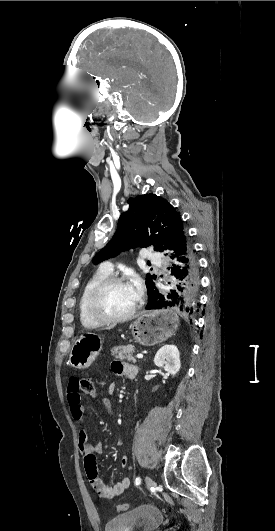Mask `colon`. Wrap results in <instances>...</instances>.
Here are the masks:
<instances>
[{"mask_svg":"<svg viewBox=\"0 0 275 531\" xmlns=\"http://www.w3.org/2000/svg\"><path fill=\"white\" fill-rule=\"evenodd\" d=\"M81 392H85V395L93 400L97 399L98 383L91 377H85V381L80 383ZM119 514L125 513L128 510V505L120 503L116 506Z\"/></svg>","mask_w":275,"mask_h":531,"instance_id":"5ec220e1","label":"colon"}]
</instances>
